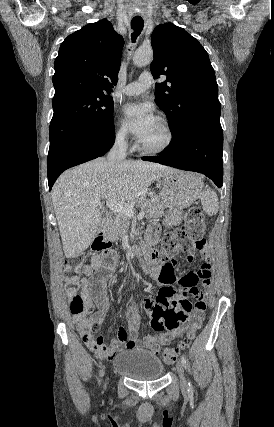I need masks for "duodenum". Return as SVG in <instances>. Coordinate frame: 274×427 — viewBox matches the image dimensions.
Wrapping results in <instances>:
<instances>
[{"label":"duodenum","instance_id":"1","mask_svg":"<svg viewBox=\"0 0 274 427\" xmlns=\"http://www.w3.org/2000/svg\"><path fill=\"white\" fill-rule=\"evenodd\" d=\"M109 219L107 218L104 222V226L102 227L101 231L99 232L98 236L95 239L94 245L95 247H102L106 244L105 240V229L107 225L109 224ZM129 252L132 255H140L144 259L145 265H149L153 262H155L158 258V251L152 246V242L150 241L148 244L141 245V246H132L129 249Z\"/></svg>","mask_w":274,"mask_h":427}]
</instances>
